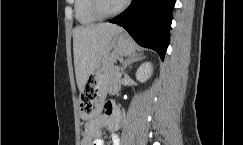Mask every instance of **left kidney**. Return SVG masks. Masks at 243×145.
<instances>
[{"label": "left kidney", "mask_w": 243, "mask_h": 145, "mask_svg": "<svg viewBox=\"0 0 243 145\" xmlns=\"http://www.w3.org/2000/svg\"><path fill=\"white\" fill-rule=\"evenodd\" d=\"M153 73L152 65L150 62L143 63L136 72V78L140 82L147 81Z\"/></svg>", "instance_id": "5707ae66"}]
</instances>
